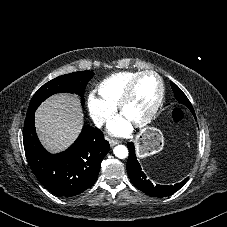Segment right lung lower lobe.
<instances>
[{"label": "right lung lower lobe", "instance_id": "1", "mask_svg": "<svg viewBox=\"0 0 227 227\" xmlns=\"http://www.w3.org/2000/svg\"><path fill=\"white\" fill-rule=\"evenodd\" d=\"M34 116L35 111L27 113L23 143L27 161L41 184L52 194L67 197L92 187L101 161L110 150L103 133L84 126L78 139L66 151L50 154L37 137Z\"/></svg>", "mask_w": 227, "mask_h": 227}]
</instances>
